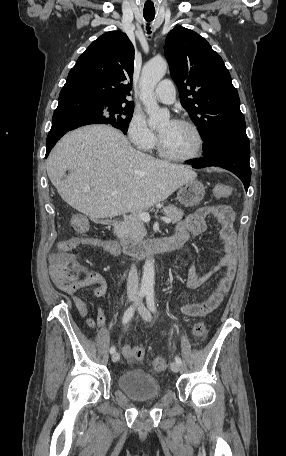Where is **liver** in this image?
Returning a JSON list of instances; mask_svg holds the SVG:
<instances>
[{"mask_svg":"<svg viewBox=\"0 0 286 456\" xmlns=\"http://www.w3.org/2000/svg\"><path fill=\"white\" fill-rule=\"evenodd\" d=\"M47 174L61 198L93 221L148 209L197 177L188 166L134 149L106 125L66 134L47 159Z\"/></svg>","mask_w":286,"mask_h":456,"instance_id":"obj_1","label":"liver"}]
</instances>
